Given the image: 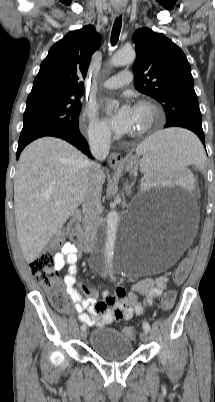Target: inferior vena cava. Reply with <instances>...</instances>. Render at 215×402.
Here are the masks:
<instances>
[{
    "label": "inferior vena cava",
    "instance_id": "obj_1",
    "mask_svg": "<svg viewBox=\"0 0 215 402\" xmlns=\"http://www.w3.org/2000/svg\"><path fill=\"white\" fill-rule=\"evenodd\" d=\"M111 134L109 131H100L89 138V146L92 155L97 161L101 162L109 154ZM99 162L90 163L88 187L85 199L82 204L83 227L86 236L94 240L99 228V211L101 208L100 182L101 164Z\"/></svg>",
    "mask_w": 215,
    "mask_h": 402
}]
</instances>
